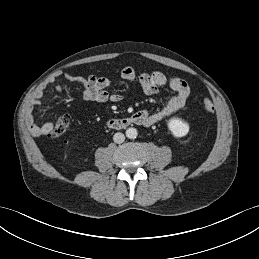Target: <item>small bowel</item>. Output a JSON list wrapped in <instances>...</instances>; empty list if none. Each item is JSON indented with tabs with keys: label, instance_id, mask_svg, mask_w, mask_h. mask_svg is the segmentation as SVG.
<instances>
[{
	"label": "small bowel",
	"instance_id": "c3829d8e",
	"mask_svg": "<svg viewBox=\"0 0 259 259\" xmlns=\"http://www.w3.org/2000/svg\"><path fill=\"white\" fill-rule=\"evenodd\" d=\"M63 76L68 81L82 86V96L86 101L104 103L109 101L120 102L122 100L119 93L112 91V84L106 77L80 76L70 73H65ZM121 77L126 81L138 80L143 92L148 95L155 94L159 87L163 86H168L173 91V95L158 109L154 111L143 110L134 114L137 118V124L144 126H151L184 107L190 94V88L183 79L169 76L161 71L137 74L132 67H124L121 70ZM55 90L57 93H62L64 87L57 85ZM43 94L44 88H40L35 92L25 116L27 128L34 136H47L54 128L52 123L47 122L39 125L35 120L34 109L39 105Z\"/></svg>",
	"mask_w": 259,
	"mask_h": 259
}]
</instances>
